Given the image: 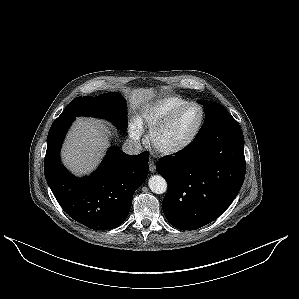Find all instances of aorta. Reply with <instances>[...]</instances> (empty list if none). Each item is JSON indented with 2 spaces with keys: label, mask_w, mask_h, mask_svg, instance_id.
Wrapping results in <instances>:
<instances>
[{
  "label": "aorta",
  "mask_w": 299,
  "mask_h": 299,
  "mask_svg": "<svg viewBox=\"0 0 299 299\" xmlns=\"http://www.w3.org/2000/svg\"><path fill=\"white\" fill-rule=\"evenodd\" d=\"M148 185L151 191L156 194H163L167 190V182L160 175L151 176Z\"/></svg>",
  "instance_id": "obj_1"
}]
</instances>
